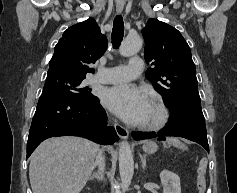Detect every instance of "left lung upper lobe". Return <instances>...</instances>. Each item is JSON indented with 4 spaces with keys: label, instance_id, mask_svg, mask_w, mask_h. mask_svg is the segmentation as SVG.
Here are the masks:
<instances>
[{
    "label": "left lung upper lobe",
    "instance_id": "5c2ea615",
    "mask_svg": "<svg viewBox=\"0 0 237 193\" xmlns=\"http://www.w3.org/2000/svg\"><path fill=\"white\" fill-rule=\"evenodd\" d=\"M144 56L153 65L146 77L172 109L171 120L203 115L190 47L174 27L150 19L142 30Z\"/></svg>",
    "mask_w": 237,
    "mask_h": 193
}]
</instances>
